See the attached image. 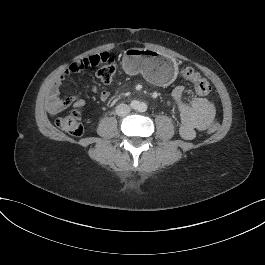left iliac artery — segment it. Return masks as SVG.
Segmentation results:
<instances>
[{
    "label": "left iliac artery",
    "mask_w": 265,
    "mask_h": 265,
    "mask_svg": "<svg viewBox=\"0 0 265 265\" xmlns=\"http://www.w3.org/2000/svg\"><path fill=\"white\" fill-rule=\"evenodd\" d=\"M140 110L145 111L146 110V105L144 103L140 104Z\"/></svg>",
    "instance_id": "obj_1"
}]
</instances>
